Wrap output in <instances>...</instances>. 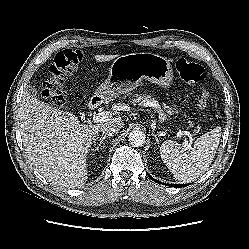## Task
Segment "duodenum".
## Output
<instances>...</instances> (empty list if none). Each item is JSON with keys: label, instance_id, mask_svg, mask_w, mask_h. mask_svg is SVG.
Wrapping results in <instances>:
<instances>
[{"label": "duodenum", "instance_id": "duodenum-1", "mask_svg": "<svg viewBox=\"0 0 249 249\" xmlns=\"http://www.w3.org/2000/svg\"><path fill=\"white\" fill-rule=\"evenodd\" d=\"M101 103V99L99 97H93L89 103V108L91 110L96 109Z\"/></svg>", "mask_w": 249, "mask_h": 249}]
</instances>
